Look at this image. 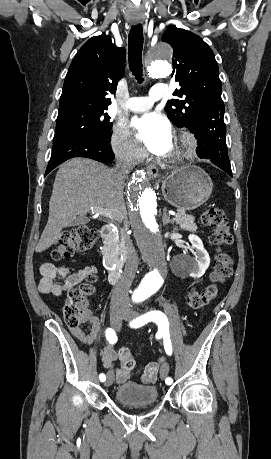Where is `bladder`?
Wrapping results in <instances>:
<instances>
[{
    "instance_id": "1",
    "label": "bladder",
    "mask_w": 271,
    "mask_h": 459,
    "mask_svg": "<svg viewBox=\"0 0 271 459\" xmlns=\"http://www.w3.org/2000/svg\"><path fill=\"white\" fill-rule=\"evenodd\" d=\"M158 400V391L153 386L123 382L115 390V403L124 405H151Z\"/></svg>"
}]
</instances>
